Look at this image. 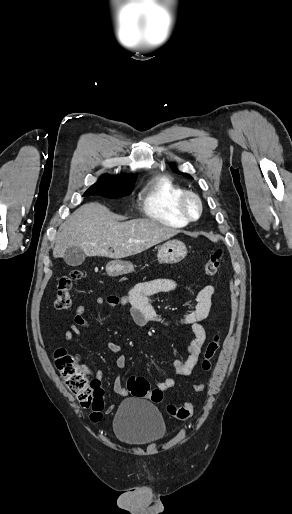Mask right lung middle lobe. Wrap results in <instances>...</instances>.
I'll return each mask as SVG.
<instances>
[{
	"mask_svg": "<svg viewBox=\"0 0 292 514\" xmlns=\"http://www.w3.org/2000/svg\"><path fill=\"white\" fill-rule=\"evenodd\" d=\"M133 181H118V180H105L99 179L92 185L83 196L99 195L105 198L118 199L120 197L128 196L134 186Z\"/></svg>",
	"mask_w": 292,
	"mask_h": 514,
	"instance_id": "1",
	"label": "right lung middle lobe"
}]
</instances>
